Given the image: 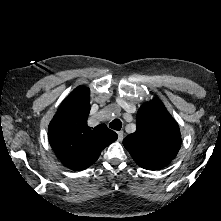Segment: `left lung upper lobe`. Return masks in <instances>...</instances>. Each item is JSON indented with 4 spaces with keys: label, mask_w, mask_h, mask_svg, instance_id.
Wrapping results in <instances>:
<instances>
[{
    "label": "left lung upper lobe",
    "mask_w": 221,
    "mask_h": 221,
    "mask_svg": "<svg viewBox=\"0 0 221 221\" xmlns=\"http://www.w3.org/2000/svg\"><path fill=\"white\" fill-rule=\"evenodd\" d=\"M137 129L123 140L135 162L147 170L161 169L176 156L180 129L159 99L143 104L136 115Z\"/></svg>",
    "instance_id": "left-lung-upper-lobe-1"
}]
</instances>
